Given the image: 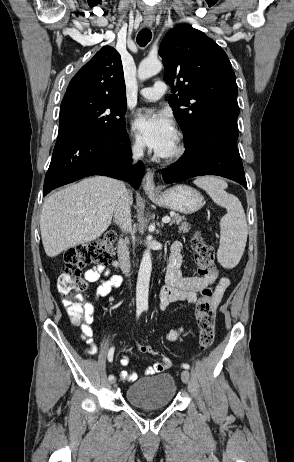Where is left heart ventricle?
<instances>
[{
	"label": "left heart ventricle",
	"mask_w": 294,
	"mask_h": 462,
	"mask_svg": "<svg viewBox=\"0 0 294 462\" xmlns=\"http://www.w3.org/2000/svg\"><path fill=\"white\" fill-rule=\"evenodd\" d=\"M175 143H176V141L173 143V145L170 147V149L168 150V152H167L166 154H169V153H171V152L174 150V148H175Z\"/></svg>",
	"instance_id": "b2bd125f"
}]
</instances>
